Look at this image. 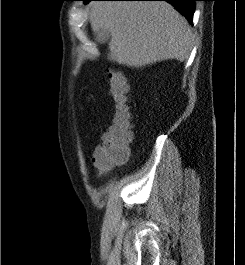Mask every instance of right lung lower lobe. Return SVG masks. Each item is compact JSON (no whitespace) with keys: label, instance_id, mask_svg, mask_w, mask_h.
<instances>
[{"label":"right lung lower lobe","instance_id":"1","mask_svg":"<svg viewBox=\"0 0 245 265\" xmlns=\"http://www.w3.org/2000/svg\"><path fill=\"white\" fill-rule=\"evenodd\" d=\"M92 0H87L88 3ZM125 1H166L172 4L180 13H182L189 22H192L195 10V1L197 0H125Z\"/></svg>","mask_w":245,"mask_h":265}]
</instances>
